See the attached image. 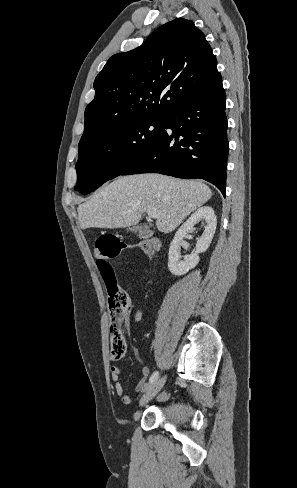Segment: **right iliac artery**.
<instances>
[{"label":"right iliac artery","instance_id":"right-iliac-artery-1","mask_svg":"<svg viewBox=\"0 0 297 488\" xmlns=\"http://www.w3.org/2000/svg\"><path fill=\"white\" fill-rule=\"evenodd\" d=\"M158 377H159V373H158V371H155V372H154V373L151 375V377H150V379H149V382H150V383L155 382V381L157 380V378H158Z\"/></svg>","mask_w":297,"mask_h":488}]
</instances>
